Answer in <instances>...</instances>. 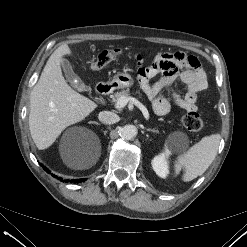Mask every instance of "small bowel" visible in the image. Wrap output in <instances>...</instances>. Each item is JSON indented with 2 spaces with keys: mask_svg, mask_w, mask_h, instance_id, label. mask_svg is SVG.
Wrapping results in <instances>:
<instances>
[{
  "mask_svg": "<svg viewBox=\"0 0 247 247\" xmlns=\"http://www.w3.org/2000/svg\"><path fill=\"white\" fill-rule=\"evenodd\" d=\"M138 62H141L139 57ZM161 74L155 82L152 79ZM138 78L142 90L151 100L154 112L164 116L170 112L171 103L163 92L176 80L188 88L186 94L173 92L172 101L180 108L196 110L198 94L207 88V80L200 62L195 56L183 52H165L157 54L147 67H139Z\"/></svg>",
  "mask_w": 247,
  "mask_h": 247,
  "instance_id": "small-bowel-1",
  "label": "small bowel"
}]
</instances>
